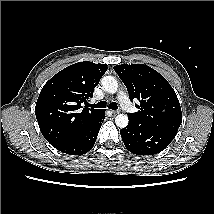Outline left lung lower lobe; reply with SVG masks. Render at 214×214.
Masks as SVG:
<instances>
[{
	"label": "left lung lower lobe",
	"mask_w": 214,
	"mask_h": 214,
	"mask_svg": "<svg viewBox=\"0 0 214 214\" xmlns=\"http://www.w3.org/2000/svg\"><path fill=\"white\" fill-rule=\"evenodd\" d=\"M126 148L137 155H153L161 152L176 134L138 124L129 120L127 127L120 130Z\"/></svg>",
	"instance_id": "left-lung-lower-lobe-1"
}]
</instances>
